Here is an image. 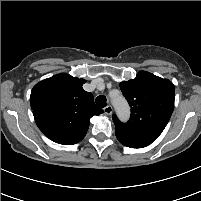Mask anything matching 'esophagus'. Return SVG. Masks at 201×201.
<instances>
[{
    "instance_id": "esophagus-1",
    "label": "esophagus",
    "mask_w": 201,
    "mask_h": 201,
    "mask_svg": "<svg viewBox=\"0 0 201 201\" xmlns=\"http://www.w3.org/2000/svg\"><path fill=\"white\" fill-rule=\"evenodd\" d=\"M104 112L106 115H111L112 112H113V108L111 105H107L105 108H104Z\"/></svg>"
}]
</instances>
